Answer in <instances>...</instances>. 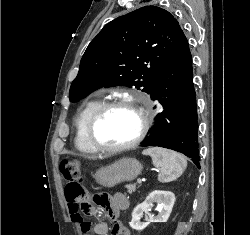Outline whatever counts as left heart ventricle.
<instances>
[{
    "instance_id": "b2bd125f",
    "label": "left heart ventricle",
    "mask_w": 250,
    "mask_h": 235,
    "mask_svg": "<svg viewBox=\"0 0 250 235\" xmlns=\"http://www.w3.org/2000/svg\"><path fill=\"white\" fill-rule=\"evenodd\" d=\"M140 116L128 107H116L107 112L96 127L97 140L105 145L130 142L140 128Z\"/></svg>"
}]
</instances>
